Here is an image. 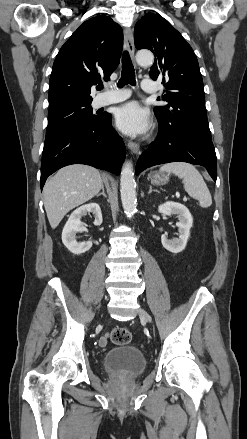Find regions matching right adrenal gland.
Returning a JSON list of instances; mask_svg holds the SVG:
<instances>
[{
	"label": "right adrenal gland",
	"instance_id": "right-adrenal-gland-1",
	"mask_svg": "<svg viewBox=\"0 0 247 439\" xmlns=\"http://www.w3.org/2000/svg\"><path fill=\"white\" fill-rule=\"evenodd\" d=\"M100 195H103L105 198L107 197L105 194L104 185L102 186V192L100 194H97V197H99Z\"/></svg>",
	"mask_w": 247,
	"mask_h": 439
}]
</instances>
